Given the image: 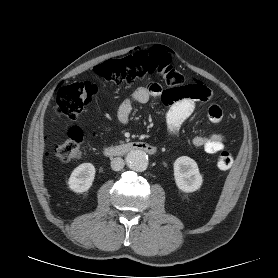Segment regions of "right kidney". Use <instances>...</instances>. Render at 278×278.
Instances as JSON below:
<instances>
[{"label":"right kidney","instance_id":"right-kidney-1","mask_svg":"<svg viewBox=\"0 0 278 278\" xmlns=\"http://www.w3.org/2000/svg\"><path fill=\"white\" fill-rule=\"evenodd\" d=\"M95 167L91 163H83L76 167L68 180L69 188L77 193H83L92 186L95 177Z\"/></svg>","mask_w":278,"mask_h":278}]
</instances>
